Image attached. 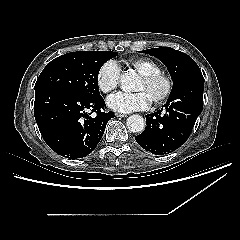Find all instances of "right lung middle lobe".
Wrapping results in <instances>:
<instances>
[{
    "instance_id": "dd1d6c3e",
    "label": "right lung middle lobe",
    "mask_w": 240,
    "mask_h": 240,
    "mask_svg": "<svg viewBox=\"0 0 240 240\" xmlns=\"http://www.w3.org/2000/svg\"><path fill=\"white\" fill-rule=\"evenodd\" d=\"M115 55L111 51H78L59 56L45 66L36 81L35 91L57 89L86 98L101 96L99 70Z\"/></svg>"
}]
</instances>
